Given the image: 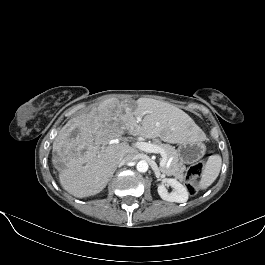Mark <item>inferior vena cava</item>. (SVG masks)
<instances>
[{"label":"inferior vena cava","mask_w":265,"mask_h":265,"mask_svg":"<svg viewBox=\"0 0 265 265\" xmlns=\"http://www.w3.org/2000/svg\"><path fill=\"white\" fill-rule=\"evenodd\" d=\"M134 160H135V156L134 155L127 154L123 158L120 159V161L118 162V166H122V165L127 164L129 162H132Z\"/></svg>","instance_id":"602c4592"}]
</instances>
